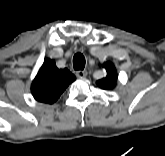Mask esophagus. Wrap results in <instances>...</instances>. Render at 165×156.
Returning a JSON list of instances; mask_svg holds the SVG:
<instances>
[{"label": "esophagus", "mask_w": 165, "mask_h": 156, "mask_svg": "<svg viewBox=\"0 0 165 156\" xmlns=\"http://www.w3.org/2000/svg\"><path fill=\"white\" fill-rule=\"evenodd\" d=\"M76 76L78 78H85L87 76V71H85V70H78V71H76Z\"/></svg>", "instance_id": "34e87169"}]
</instances>
